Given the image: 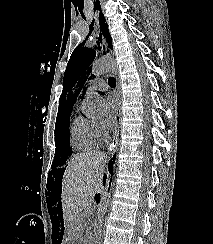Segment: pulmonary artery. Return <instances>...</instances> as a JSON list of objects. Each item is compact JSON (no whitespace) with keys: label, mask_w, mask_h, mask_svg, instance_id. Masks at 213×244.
<instances>
[{"label":"pulmonary artery","mask_w":213,"mask_h":244,"mask_svg":"<svg viewBox=\"0 0 213 244\" xmlns=\"http://www.w3.org/2000/svg\"><path fill=\"white\" fill-rule=\"evenodd\" d=\"M107 89V83L102 79H94L89 81L88 90L89 91H105Z\"/></svg>","instance_id":"obj_1"}]
</instances>
